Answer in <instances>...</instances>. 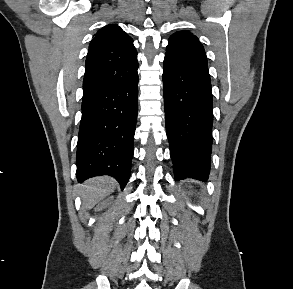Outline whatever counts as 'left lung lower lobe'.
Segmentation results:
<instances>
[{
  "instance_id": "1",
  "label": "left lung lower lobe",
  "mask_w": 293,
  "mask_h": 289,
  "mask_svg": "<svg viewBox=\"0 0 293 289\" xmlns=\"http://www.w3.org/2000/svg\"><path fill=\"white\" fill-rule=\"evenodd\" d=\"M163 93L175 178L207 181L213 124L208 66L165 56Z\"/></svg>"
}]
</instances>
